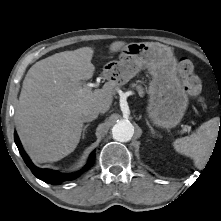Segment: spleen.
I'll list each match as a JSON object with an SVG mask.
<instances>
[{
    "label": "spleen",
    "instance_id": "3e777b00",
    "mask_svg": "<svg viewBox=\"0 0 221 221\" xmlns=\"http://www.w3.org/2000/svg\"><path fill=\"white\" fill-rule=\"evenodd\" d=\"M219 130V118L215 117L203 123L190 136L176 139L174 149L180 154L191 157L197 168H203L210 158Z\"/></svg>",
    "mask_w": 221,
    "mask_h": 221
}]
</instances>
